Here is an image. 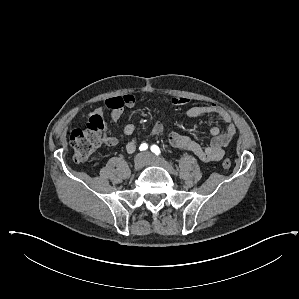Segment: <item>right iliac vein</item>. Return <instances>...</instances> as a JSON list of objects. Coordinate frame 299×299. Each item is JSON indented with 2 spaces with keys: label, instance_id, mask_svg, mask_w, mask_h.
<instances>
[{
  "label": "right iliac vein",
  "instance_id": "63e3f726",
  "mask_svg": "<svg viewBox=\"0 0 299 299\" xmlns=\"http://www.w3.org/2000/svg\"><path fill=\"white\" fill-rule=\"evenodd\" d=\"M146 164V158L143 154H138L134 158V170L139 171L141 170Z\"/></svg>",
  "mask_w": 299,
  "mask_h": 299
}]
</instances>
